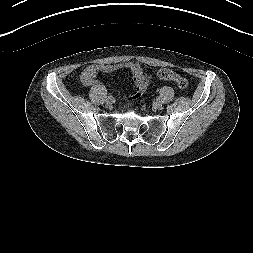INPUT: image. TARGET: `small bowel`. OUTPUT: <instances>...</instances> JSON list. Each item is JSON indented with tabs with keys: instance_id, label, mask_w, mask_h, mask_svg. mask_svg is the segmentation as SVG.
Masks as SVG:
<instances>
[{
	"instance_id": "c3829d8e",
	"label": "small bowel",
	"mask_w": 253,
	"mask_h": 253,
	"mask_svg": "<svg viewBox=\"0 0 253 253\" xmlns=\"http://www.w3.org/2000/svg\"><path fill=\"white\" fill-rule=\"evenodd\" d=\"M123 68L127 69L130 74L132 75L133 79L137 78H144L143 75V69L138 63H125L123 65H120ZM117 66L115 65H108V64H93L85 68V70L81 74V82L84 85H90L94 82L96 76L100 72L109 73L116 69Z\"/></svg>"
}]
</instances>
